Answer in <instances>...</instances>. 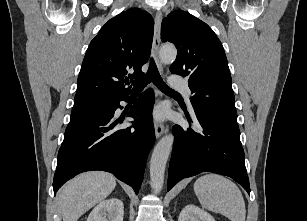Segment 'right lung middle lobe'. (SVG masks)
Here are the masks:
<instances>
[{"mask_svg": "<svg viewBox=\"0 0 307 221\" xmlns=\"http://www.w3.org/2000/svg\"><path fill=\"white\" fill-rule=\"evenodd\" d=\"M113 102H95L82 105H75L71 112L70 123L67 127H72L93 118L106 114Z\"/></svg>", "mask_w": 307, "mask_h": 221, "instance_id": "obj_1", "label": "right lung middle lobe"}]
</instances>
